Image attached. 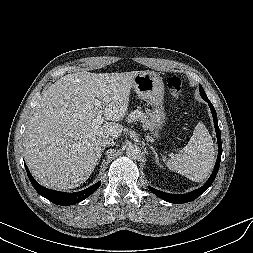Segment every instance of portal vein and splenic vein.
Returning a JSON list of instances; mask_svg holds the SVG:
<instances>
[{"label":"portal vein and splenic vein","instance_id":"18ae733b","mask_svg":"<svg viewBox=\"0 0 253 253\" xmlns=\"http://www.w3.org/2000/svg\"><path fill=\"white\" fill-rule=\"evenodd\" d=\"M100 104H101V101L96 100V105L100 106ZM92 123H93V125L96 126V127L102 125V124H103V116H102V114L99 113V114L97 115V117L94 118V119L92 120Z\"/></svg>","mask_w":253,"mask_h":253}]
</instances>
